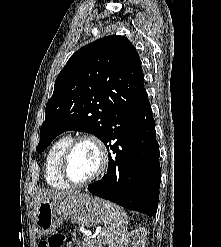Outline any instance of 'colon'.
<instances>
[{"label":"colon","mask_w":221,"mask_h":247,"mask_svg":"<svg viewBox=\"0 0 221 247\" xmlns=\"http://www.w3.org/2000/svg\"><path fill=\"white\" fill-rule=\"evenodd\" d=\"M66 239L62 235H54L39 243V247H66Z\"/></svg>","instance_id":"5ec220e1"}]
</instances>
